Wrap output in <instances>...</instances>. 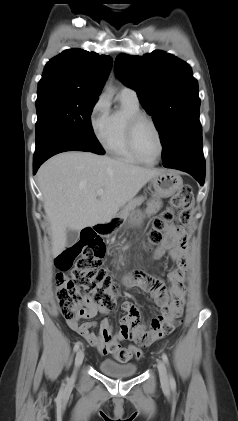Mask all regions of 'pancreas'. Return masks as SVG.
<instances>
[{"mask_svg":"<svg viewBox=\"0 0 238 421\" xmlns=\"http://www.w3.org/2000/svg\"><path fill=\"white\" fill-rule=\"evenodd\" d=\"M143 201V197H138L130 200L120 211V217L126 218L129 215L130 211H132L136 206L141 205Z\"/></svg>","mask_w":238,"mask_h":421,"instance_id":"cf45deb5","label":"pancreas"}]
</instances>
